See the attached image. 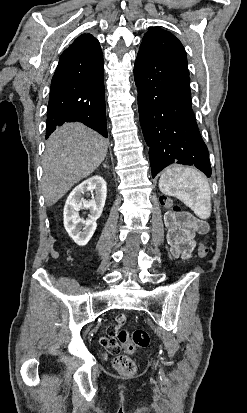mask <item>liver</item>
I'll list each match as a JSON object with an SVG mask.
<instances>
[{
    "instance_id": "liver-1",
    "label": "liver",
    "mask_w": 247,
    "mask_h": 413,
    "mask_svg": "<svg viewBox=\"0 0 247 413\" xmlns=\"http://www.w3.org/2000/svg\"><path fill=\"white\" fill-rule=\"evenodd\" d=\"M109 140L81 122L58 126L46 142L42 188L47 207L103 162Z\"/></svg>"
}]
</instances>
